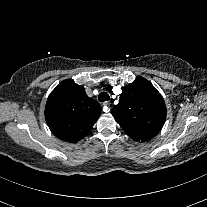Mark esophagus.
I'll return each mask as SVG.
<instances>
[{"label":"esophagus","mask_w":207,"mask_h":207,"mask_svg":"<svg viewBox=\"0 0 207 207\" xmlns=\"http://www.w3.org/2000/svg\"><path fill=\"white\" fill-rule=\"evenodd\" d=\"M104 106H106L108 108V110L106 112H109L110 111V105H111V102L109 101H106L103 103Z\"/></svg>","instance_id":"obj_1"}]
</instances>
